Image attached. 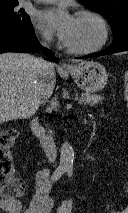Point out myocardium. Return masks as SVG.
I'll return each instance as SVG.
<instances>
[{
  "label": "myocardium",
  "mask_w": 128,
  "mask_h": 213,
  "mask_svg": "<svg viewBox=\"0 0 128 213\" xmlns=\"http://www.w3.org/2000/svg\"><path fill=\"white\" fill-rule=\"evenodd\" d=\"M77 17L78 18H91V19L95 20L98 23V25L100 26L101 37L95 45H93L91 47H87V48H72L67 45L66 46L67 51L70 53H73V54L86 55V54H91V53L101 50L108 42L109 35H110L109 25H108L106 19L101 14H99L95 11H91V10L79 11L77 14Z\"/></svg>",
  "instance_id": "obj_1"
}]
</instances>
